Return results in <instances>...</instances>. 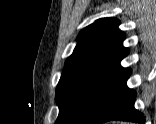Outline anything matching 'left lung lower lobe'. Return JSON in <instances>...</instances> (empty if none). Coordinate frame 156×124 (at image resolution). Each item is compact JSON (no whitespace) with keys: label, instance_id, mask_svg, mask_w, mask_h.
<instances>
[{"label":"left lung lower lobe","instance_id":"0a47b994","mask_svg":"<svg viewBox=\"0 0 156 124\" xmlns=\"http://www.w3.org/2000/svg\"><path fill=\"white\" fill-rule=\"evenodd\" d=\"M130 74V69L119 66L78 124H100L112 120L145 123L143 114L134 108L136 92L126 85Z\"/></svg>","mask_w":156,"mask_h":124}]
</instances>
